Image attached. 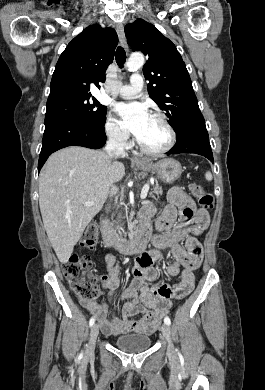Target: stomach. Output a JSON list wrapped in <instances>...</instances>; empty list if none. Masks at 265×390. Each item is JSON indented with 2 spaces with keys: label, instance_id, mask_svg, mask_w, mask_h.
<instances>
[{
  "label": "stomach",
  "instance_id": "stomach-1",
  "mask_svg": "<svg viewBox=\"0 0 265 390\" xmlns=\"http://www.w3.org/2000/svg\"><path fill=\"white\" fill-rule=\"evenodd\" d=\"M135 165L143 171L156 174L158 178L167 183L178 179L183 171L181 164L171 158L163 159L156 163H153L151 159H144Z\"/></svg>",
  "mask_w": 265,
  "mask_h": 390
}]
</instances>
